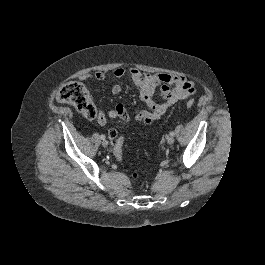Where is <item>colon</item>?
I'll return each mask as SVG.
<instances>
[{
	"instance_id": "obj_1",
	"label": "colon",
	"mask_w": 265,
	"mask_h": 265,
	"mask_svg": "<svg viewBox=\"0 0 265 265\" xmlns=\"http://www.w3.org/2000/svg\"><path fill=\"white\" fill-rule=\"evenodd\" d=\"M56 99L61 103L73 106L77 111H79L85 118L89 120H93L99 115L98 110L92 102L86 88L79 82L72 81L61 86L56 93ZM193 105V100H188L186 102V106L189 108ZM116 137L117 136H115L114 138ZM123 145L124 136L117 137L113 145V153L119 160H122L123 157ZM138 177V172L132 173V178L134 180H137Z\"/></svg>"
}]
</instances>
